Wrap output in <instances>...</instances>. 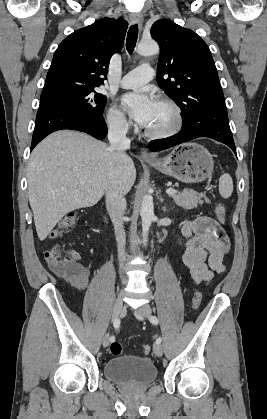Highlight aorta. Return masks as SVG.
<instances>
[{
    "label": "aorta",
    "mask_w": 267,
    "mask_h": 419,
    "mask_svg": "<svg viewBox=\"0 0 267 419\" xmlns=\"http://www.w3.org/2000/svg\"><path fill=\"white\" fill-rule=\"evenodd\" d=\"M137 52L140 55L153 56L159 53V46L154 41L141 42L138 45ZM140 216L142 220L143 243L144 245H146L147 235H148L150 226L154 218L153 198L149 194L143 197L141 209H140Z\"/></svg>",
    "instance_id": "1"
}]
</instances>
